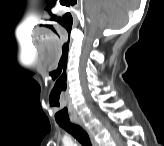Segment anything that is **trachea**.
Masks as SVG:
<instances>
[{"instance_id":"trachea-1","label":"trachea","mask_w":164,"mask_h":146,"mask_svg":"<svg viewBox=\"0 0 164 146\" xmlns=\"http://www.w3.org/2000/svg\"><path fill=\"white\" fill-rule=\"evenodd\" d=\"M58 125L70 133L83 146H91L87 132L80 125L71 123L70 120L58 122Z\"/></svg>"}]
</instances>
